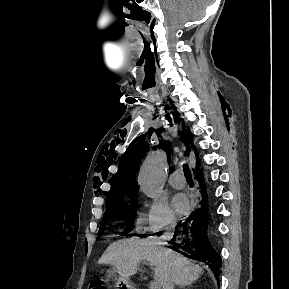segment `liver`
I'll use <instances>...</instances> for the list:
<instances>
[{"label": "liver", "mask_w": 289, "mask_h": 289, "mask_svg": "<svg viewBox=\"0 0 289 289\" xmlns=\"http://www.w3.org/2000/svg\"><path fill=\"white\" fill-rule=\"evenodd\" d=\"M142 261H148L155 267V277L160 286L168 271L173 283L179 286L195 282L202 273L199 265L181 254L136 237L112 243L99 259V264H109L120 276L129 278L136 274Z\"/></svg>", "instance_id": "1"}]
</instances>
